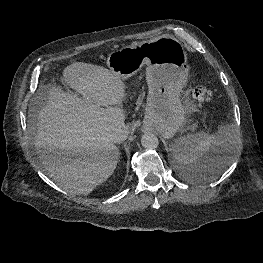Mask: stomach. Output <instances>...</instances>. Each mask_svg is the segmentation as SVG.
<instances>
[{"instance_id":"0dacf381","label":"stomach","mask_w":263,"mask_h":263,"mask_svg":"<svg viewBox=\"0 0 263 263\" xmlns=\"http://www.w3.org/2000/svg\"><path fill=\"white\" fill-rule=\"evenodd\" d=\"M111 72L121 79L135 75L144 65L149 88L144 122L165 138L182 130L186 109L181 99L189 67L183 45L163 35L154 40L136 42L111 52L107 58Z\"/></svg>"}]
</instances>
